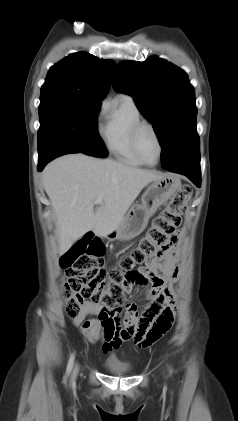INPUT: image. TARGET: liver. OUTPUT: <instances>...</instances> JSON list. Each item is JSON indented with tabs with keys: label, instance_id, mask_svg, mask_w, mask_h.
I'll return each instance as SVG.
<instances>
[{
	"label": "liver",
	"instance_id": "liver-1",
	"mask_svg": "<svg viewBox=\"0 0 238 421\" xmlns=\"http://www.w3.org/2000/svg\"><path fill=\"white\" fill-rule=\"evenodd\" d=\"M162 176L156 170L85 154L65 155L49 163L42 177L56 215L59 253L90 230L98 237L108 236L142 189ZM100 195L102 203L94 210Z\"/></svg>",
	"mask_w": 238,
	"mask_h": 421
}]
</instances>
